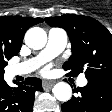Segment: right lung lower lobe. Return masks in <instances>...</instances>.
<instances>
[{"instance_id":"98d812e1","label":"right lung lower lobe","mask_w":112,"mask_h":112,"mask_svg":"<svg viewBox=\"0 0 112 112\" xmlns=\"http://www.w3.org/2000/svg\"><path fill=\"white\" fill-rule=\"evenodd\" d=\"M42 81L38 78H26L16 88L0 80V112H32L34 97L42 91Z\"/></svg>"}]
</instances>
